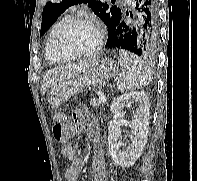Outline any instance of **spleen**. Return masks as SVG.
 Returning a JSON list of instances; mask_svg holds the SVG:
<instances>
[{
    "instance_id": "3e777b00",
    "label": "spleen",
    "mask_w": 197,
    "mask_h": 181,
    "mask_svg": "<svg viewBox=\"0 0 197 181\" xmlns=\"http://www.w3.org/2000/svg\"><path fill=\"white\" fill-rule=\"evenodd\" d=\"M120 79L117 83L120 91L140 89L152 80L149 66L140 58L125 51H119Z\"/></svg>"
}]
</instances>
